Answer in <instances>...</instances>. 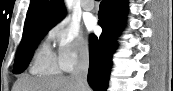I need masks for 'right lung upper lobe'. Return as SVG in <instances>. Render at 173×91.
<instances>
[{
  "label": "right lung upper lobe",
  "instance_id": "1",
  "mask_svg": "<svg viewBox=\"0 0 173 91\" xmlns=\"http://www.w3.org/2000/svg\"><path fill=\"white\" fill-rule=\"evenodd\" d=\"M64 14L65 7L62 0H31L24 32L42 25L55 26Z\"/></svg>",
  "mask_w": 173,
  "mask_h": 91
}]
</instances>
